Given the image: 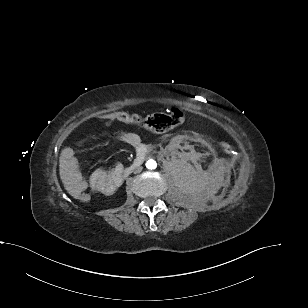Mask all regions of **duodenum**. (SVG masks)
Instances as JSON below:
<instances>
[{
	"label": "duodenum",
	"mask_w": 308,
	"mask_h": 308,
	"mask_svg": "<svg viewBox=\"0 0 308 308\" xmlns=\"http://www.w3.org/2000/svg\"><path fill=\"white\" fill-rule=\"evenodd\" d=\"M147 153L146 149H141L139 150L137 157L135 158V160L131 163V165H129L128 167H126L120 174V181H122L123 179H125L126 177H128L135 168L139 167L142 165L143 161H144V157Z\"/></svg>",
	"instance_id": "duodenum-1"
}]
</instances>
